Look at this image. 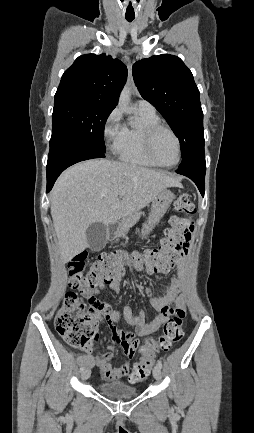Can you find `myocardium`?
Masks as SVG:
<instances>
[{
	"mask_svg": "<svg viewBox=\"0 0 254 433\" xmlns=\"http://www.w3.org/2000/svg\"><path fill=\"white\" fill-rule=\"evenodd\" d=\"M161 130H164V131H167L168 133H170L173 136V138L175 139L176 144H177V159L173 164H170V165H166V164L161 163L156 158V156L154 154L153 141H154L156 134ZM143 145H144V150H145L146 155L156 166L163 167V168H174L181 161L182 147H181V141H180L178 135L175 133V131L173 129H171L167 125H164L160 122L149 125L145 128L144 133H143Z\"/></svg>",
	"mask_w": 254,
	"mask_h": 433,
	"instance_id": "f54148a6",
	"label": "myocardium"
}]
</instances>
